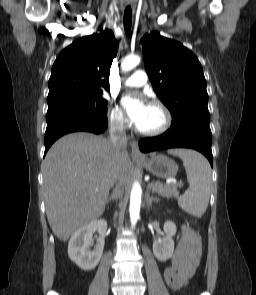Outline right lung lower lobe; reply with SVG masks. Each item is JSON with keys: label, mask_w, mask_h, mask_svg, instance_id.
Listing matches in <instances>:
<instances>
[{"label": "right lung lower lobe", "mask_w": 256, "mask_h": 295, "mask_svg": "<svg viewBox=\"0 0 256 295\" xmlns=\"http://www.w3.org/2000/svg\"><path fill=\"white\" fill-rule=\"evenodd\" d=\"M45 132V154L59 137L76 131H87L96 134L108 127L106 114H89L69 111L47 113Z\"/></svg>", "instance_id": "obj_1"}]
</instances>
